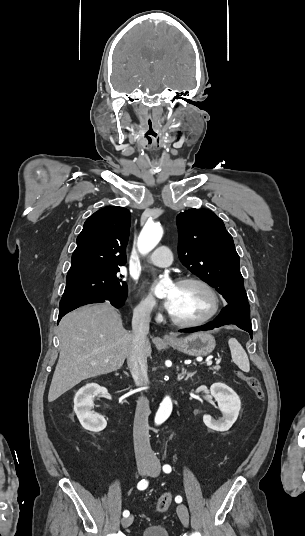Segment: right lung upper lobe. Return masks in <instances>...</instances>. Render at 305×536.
I'll use <instances>...</instances> for the list:
<instances>
[{
	"label": "right lung upper lobe",
	"mask_w": 305,
	"mask_h": 536,
	"mask_svg": "<svg viewBox=\"0 0 305 536\" xmlns=\"http://www.w3.org/2000/svg\"><path fill=\"white\" fill-rule=\"evenodd\" d=\"M130 224V212L123 207L107 206L91 215L77 237L67 278L125 265Z\"/></svg>",
	"instance_id": "obj_1"
}]
</instances>
